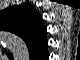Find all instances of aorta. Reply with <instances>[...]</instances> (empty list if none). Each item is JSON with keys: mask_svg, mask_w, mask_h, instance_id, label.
<instances>
[{"mask_svg": "<svg viewBox=\"0 0 80 60\" xmlns=\"http://www.w3.org/2000/svg\"><path fill=\"white\" fill-rule=\"evenodd\" d=\"M3 40L6 46L14 53L19 54L22 53L24 55H28V49L25 42L18 36L10 33H6L3 36Z\"/></svg>", "mask_w": 80, "mask_h": 60, "instance_id": "1", "label": "aorta"}]
</instances>
